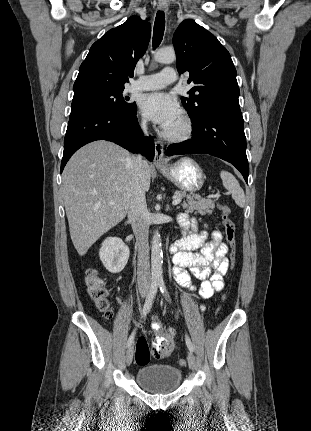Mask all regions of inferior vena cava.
<instances>
[{
    "label": "inferior vena cava",
    "instance_id": "obj_1",
    "mask_svg": "<svg viewBox=\"0 0 311 431\" xmlns=\"http://www.w3.org/2000/svg\"><path fill=\"white\" fill-rule=\"evenodd\" d=\"M144 134H147V126L141 124ZM144 180L142 174V156H135V170L133 174L131 202L129 204L128 219L131 221L138 245L137 281L138 293L145 295L151 283L150 253H149V212L147 210Z\"/></svg>",
    "mask_w": 311,
    "mask_h": 431
}]
</instances>
